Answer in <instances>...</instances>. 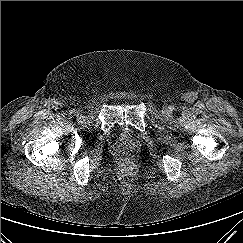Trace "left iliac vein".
Returning a JSON list of instances; mask_svg holds the SVG:
<instances>
[{
    "label": "left iliac vein",
    "instance_id": "1",
    "mask_svg": "<svg viewBox=\"0 0 243 243\" xmlns=\"http://www.w3.org/2000/svg\"><path fill=\"white\" fill-rule=\"evenodd\" d=\"M169 112H170V110H169V108H168L167 106H164V107L162 108V113H163L164 115L169 114Z\"/></svg>",
    "mask_w": 243,
    "mask_h": 243
}]
</instances>
